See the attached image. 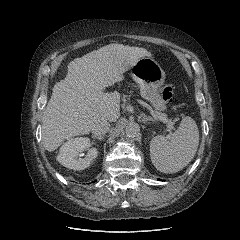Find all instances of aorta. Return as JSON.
Masks as SVG:
<instances>
[{
	"label": "aorta",
	"instance_id": "obj_1",
	"mask_svg": "<svg viewBox=\"0 0 240 240\" xmlns=\"http://www.w3.org/2000/svg\"><path fill=\"white\" fill-rule=\"evenodd\" d=\"M125 133L128 137H137L140 134V126L135 122H131L126 126Z\"/></svg>",
	"mask_w": 240,
	"mask_h": 240
}]
</instances>
